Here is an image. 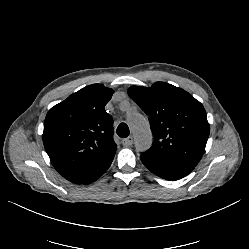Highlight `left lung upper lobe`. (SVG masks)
<instances>
[{
	"mask_svg": "<svg viewBox=\"0 0 249 249\" xmlns=\"http://www.w3.org/2000/svg\"><path fill=\"white\" fill-rule=\"evenodd\" d=\"M128 94L149 116L154 142L143 154L195 167L210 132L203 105L188 92L165 82L149 88L132 86Z\"/></svg>",
	"mask_w": 249,
	"mask_h": 249,
	"instance_id": "1",
	"label": "left lung upper lobe"
}]
</instances>
